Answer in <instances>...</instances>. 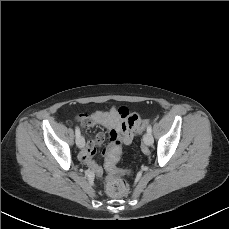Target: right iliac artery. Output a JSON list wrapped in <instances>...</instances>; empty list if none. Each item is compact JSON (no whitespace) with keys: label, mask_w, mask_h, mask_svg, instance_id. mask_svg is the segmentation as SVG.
I'll return each mask as SVG.
<instances>
[{"label":"right iliac artery","mask_w":229,"mask_h":229,"mask_svg":"<svg viewBox=\"0 0 229 229\" xmlns=\"http://www.w3.org/2000/svg\"><path fill=\"white\" fill-rule=\"evenodd\" d=\"M75 134H76V138H78V137L81 135L80 129H79V127H77V126H76V128H75Z\"/></svg>","instance_id":"obj_1"}]
</instances>
